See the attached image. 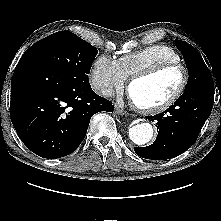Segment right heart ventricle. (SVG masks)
<instances>
[{
  "instance_id": "1",
  "label": "right heart ventricle",
  "mask_w": 221,
  "mask_h": 221,
  "mask_svg": "<svg viewBox=\"0 0 221 221\" xmlns=\"http://www.w3.org/2000/svg\"><path fill=\"white\" fill-rule=\"evenodd\" d=\"M179 54L170 46L154 44L122 55L118 65L126 78L164 62H180Z\"/></svg>"
}]
</instances>
